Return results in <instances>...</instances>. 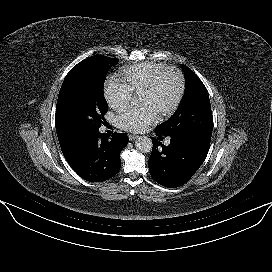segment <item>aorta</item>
Returning <instances> with one entry per match:
<instances>
[{
	"mask_svg": "<svg viewBox=\"0 0 272 272\" xmlns=\"http://www.w3.org/2000/svg\"><path fill=\"white\" fill-rule=\"evenodd\" d=\"M135 147L142 153H149L152 150L153 143L151 138L147 136H140L135 141Z\"/></svg>",
	"mask_w": 272,
	"mask_h": 272,
	"instance_id": "762f6f07",
	"label": "aorta"
}]
</instances>
